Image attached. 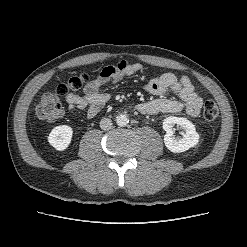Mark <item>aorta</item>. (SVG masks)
<instances>
[{"instance_id":"1","label":"aorta","mask_w":247,"mask_h":247,"mask_svg":"<svg viewBox=\"0 0 247 247\" xmlns=\"http://www.w3.org/2000/svg\"><path fill=\"white\" fill-rule=\"evenodd\" d=\"M116 123L118 126H126L129 123V118L125 114H120L116 117Z\"/></svg>"}]
</instances>
